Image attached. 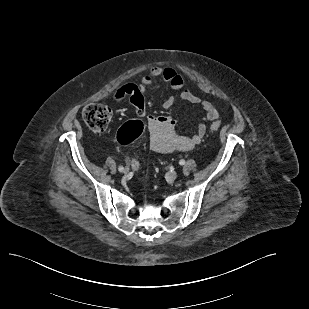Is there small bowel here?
<instances>
[{"mask_svg": "<svg viewBox=\"0 0 309 309\" xmlns=\"http://www.w3.org/2000/svg\"><path fill=\"white\" fill-rule=\"evenodd\" d=\"M162 79L174 90H180L184 85L183 77L171 67L154 66L138 82H128L121 85L114 93V99L121 101L128 98L136 109L140 118L147 120L150 133V145L152 150L158 153H171L175 151H189L198 145L206 134L207 122H215L219 118V112L213 102L203 101L190 91L180 93V100L185 103L199 105L205 112L197 130L192 135H184L178 130V117L174 114L153 116L146 114L144 92ZM174 98L168 97L163 107L169 109L174 104Z\"/></svg>", "mask_w": 309, "mask_h": 309, "instance_id": "obj_1", "label": "small bowel"}]
</instances>
